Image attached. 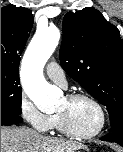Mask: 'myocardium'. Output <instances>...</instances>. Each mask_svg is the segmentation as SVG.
<instances>
[{"label":"myocardium","instance_id":"1","mask_svg":"<svg viewBox=\"0 0 123 152\" xmlns=\"http://www.w3.org/2000/svg\"><path fill=\"white\" fill-rule=\"evenodd\" d=\"M65 98L69 102H73L78 99H86L90 101L96 106L101 117L100 124L96 130L90 133H80L73 128L70 122V119L66 113L58 112V116L60 118L62 127L68 135L75 138H79V139H90V138H94L98 136L104 130L107 124V114H106L104 106L101 104L99 100H97L94 96L85 92H73V93L67 94Z\"/></svg>","mask_w":123,"mask_h":152}]
</instances>
